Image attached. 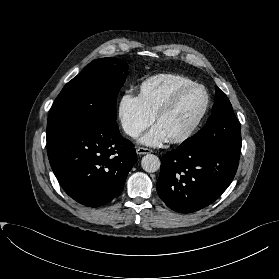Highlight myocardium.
Returning a JSON list of instances; mask_svg holds the SVG:
<instances>
[{"instance_id": "myocardium-1", "label": "myocardium", "mask_w": 279, "mask_h": 279, "mask_svg": "<svg viewBox=\"0 0 279 279\" xmlns=\"http://www.w3.org/2000/svg\"><path fill=\"white\" fill-rule=\"evenodd\" d=\"M197 88L203 90L205 93V102L203 108L198 114V116L196 117V119L194 120V122L191 124V126L184 133L176 137L168 138L170 143L173 144L183 143L188 139H190L195 134V132L201 125L203 119L205 118L210 106V94L208 90L206 89L205 86L198 83L185 85L179 88L154 116V122L157 124L164 116L169 114L175 108V106L177 105V103L185 93Z\"/></svg>"}]
</instances>
